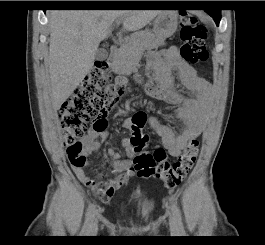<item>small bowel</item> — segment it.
Segmentation results:
<instances>
[{
    "mask_svg": "<svg viewBox=\"0 0 265 245\" xmlns=\"http://www.w3.org/2000/svg\"><path fill=\"white\" fill-rule=\"evenodd\" d=\"M146 69L151 76V81L145 89L148 95L154 99L163 100L170 104L179 105L174 116L182 125V132L176 134L174 130L163 123L157 116H150L148 122L159 135L162 144L170 155L179 156L193 137H197L204 129V122L200 118V113L206 107L207 101L212 92V85L205 79L198 76L196 69L185 62L177 47L172 46L161 51H150L146 57ZM174 73L178 75L183 86L188 91V95H182L175 88ZM123 126L132 131L130 119L123 122ZM109 134L104 129L93 128L84 141V155L89 156L96 153L100 147V139H106ZM126 157L122 158L120 152L113 148L108 150L109 157L113 160L114 178L104 181L101 178L91 177L83 167L73 168L77 178L86 186L93 188L96 193L102 194L109 199L120 189L130 178L134 176L130 168L131 160L134 156V148L131 138L122 140ZM105 178L106 175L101 176ZM111 187L112 190L107 188Z\"/></svg>",
    "mask_w": 265,
    "mask_h": 245,
    "instance_id": "obj_1",
    "label": "small bowel"
}]
</instances>
